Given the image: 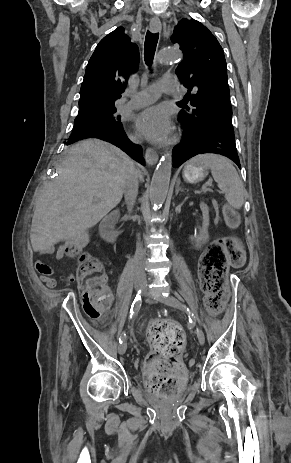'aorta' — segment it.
Returning a JSON list of instances; mask_svg holds the SVG:
<instances>
[{
  "mask_svg": "<svg viewBox=\"0 0 291 463\" xmlns=\"http://www.w3.org/2000/svg\"><path fill=\"white\" fill-rule=\"evenodd\" d=\"M180 50L173 47H166L160 50L157 62L161 65L169 64L181 59ZM172 157L171 153H165L158 163L152 177L149 189V197L154 207L161 206L168 194L171 177Z\"/></svg>",
  "mask_w": 291,
  "mask_h": 463,
  "instance_id": "1",
  "label": "aorta"
}]
</instances>
